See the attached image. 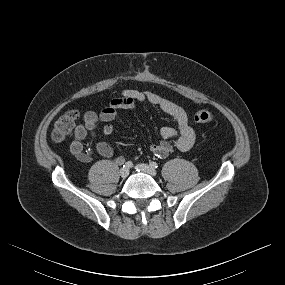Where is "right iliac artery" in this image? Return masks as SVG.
I'll use <instances>...</instances> for the list:
<instances>
[{
    "instance_id": "obj_1",
    "label": "right iliac artery",
    "mask_w": 285,
    "mask_h": 285,
    "mask_svg": "<svg viewBox=\"0 0 285 285\" xmlns=\"http://www.w3.org/2000/svg\"><path fill=\"white\" fill-rule=\"evenodd\" d=\"M132 166H133V163L131 161H128L123 165V168L130 169Z\"/></svg>"
}]
</instances>
